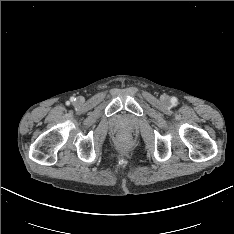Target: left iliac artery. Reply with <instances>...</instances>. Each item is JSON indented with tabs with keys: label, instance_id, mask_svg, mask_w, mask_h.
<instances>
[{
	"label": "left iliac artery",
	"instance_id": "left-iliac-artery-1",
	"mask_svg": "<svg viewBox=\"0 0 234 234\" xmlns=\"http://www.w3.org/2000/svg\"><path fill=\"white\" fill-rule=\"evenodd\" d=\"M171 102L173 103V105H175L177 103V98L176 97H172L171 98Z\"/></svg>",
	"mask_w": 234,
	"mask_h": 234
}]
</instances>
